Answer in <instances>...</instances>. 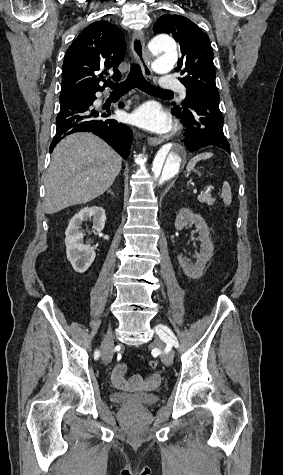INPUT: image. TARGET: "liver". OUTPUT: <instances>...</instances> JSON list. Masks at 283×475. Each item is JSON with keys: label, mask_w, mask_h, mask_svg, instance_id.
I'll use <instances>...</instances> for the list:
<instances>
[{"label": "liver", "mask_w": 283, "mask_h": 475, "mask_svg": "<svg viewBox=\"0 0 283 475\" xmlns=\"http://www.w3.org/2000/svg\"><path fill=\"white\" fill-rule=\"evenodd\" d=\"M122 158L94 134H71L53 150L45 184V212L86 204L112 186Z\"/></svg>", "instance_id": "obj_1"}]
</instances>
